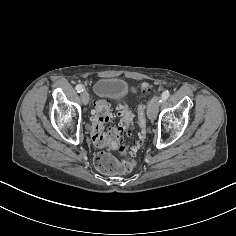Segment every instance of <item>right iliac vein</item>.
<instances>
[{"label": "right iliac vein", "mask_w": 236, "mask_h": 236, "mask_svg": "<svg viewBox=\"0 0 236 236\" xmlns=\"http://www.w3.org/2000/svg\"><path fill=\"white\" fill-rule=\"evenodd\" d=\"M80 97L84 105H87L89 103V94L86 91L82 92Z\"/></svg>", "instance_id": "right-iliac-vein-1"}]
</instances>
